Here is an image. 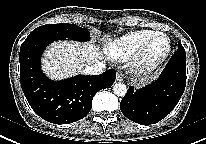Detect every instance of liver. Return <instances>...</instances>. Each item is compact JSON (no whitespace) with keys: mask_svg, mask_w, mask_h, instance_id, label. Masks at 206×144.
<instances>
[{"mask_svg":"<svg viewBox=\"0 0 206 144\" xmlns=\"http://www.w3.org/2000/svg\"><path fill=\"white\" fill-rule=\"evenodd\" d=\"M102 59L103 54L95 43L56 42L44 53L43 71L52 79H64Z\"/></svg>","mask_w":206,"mask_h":144,"instance_id":"liver-1","label":"liver"}]
</instances>
